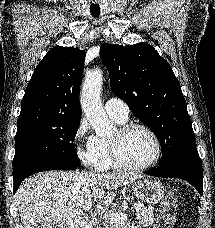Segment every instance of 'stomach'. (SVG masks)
Listing matches in <instances>:
<instances>
[{"mask_svg":"<svg viewBox=\"0 0 215 228\" xmlns=\"http://www.w3.org/2000/svg\"><path fill=\"white\" fill-rule=\"evenodd\" d=\"M133 194L136 198L147 202V204H158L165 194V188L158 180L148 178V180H140V182H132Z\"/></svg>","mask_w":215,"mask_h":228,"instance_id":"obj_1","label":"stomach"}]
</instances>
